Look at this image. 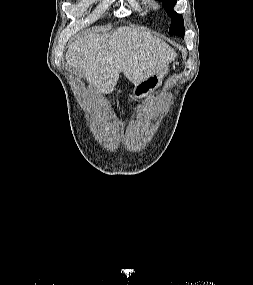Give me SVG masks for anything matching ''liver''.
<instances>
[{"label": "liver", "instance_id": "6515ba94", "mask_svg": "<svg viewBox=\"0 0 253 285\" xmlns=\"http://www.w3.org/2000/svg\"><path fill=\"white\" fill-rule=\"evenodd\" d=\"M175 57L174 49L160 38L130 27L78 38L66 53L67 64L103 94L113 92L120 72L137 86Z\"/></svg>", "mask_w": 253, "mask_h": 285}]
</instances>
